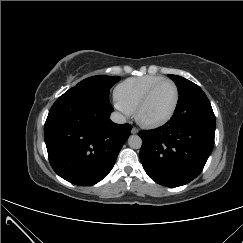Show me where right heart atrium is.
<instances>
[{"label": "right heart atrium", "mask_w": 243, "mask_h": 243, "mask_svg": "<svg viewBox=\"0 0 243 243\" xmlns=\"http://www.w3.org/2000/svg\"><path fill=\"white\" fill-rule=\"evenodd\" d=\"M116 109L125 117H128L131 113L122 106L118 101L115 102Z\"/></svg>", "instance_id": "1"}]
</instances>
